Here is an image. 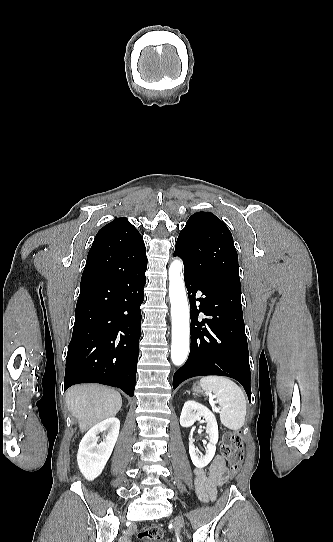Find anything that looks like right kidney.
I'll use <instances>...</instances> for the list:
<instances>
[{
  "label": "right kidney",
  "mask_w": 333,
  "mask_h": 542,
  "mask_svg": "<svg viewBox=\"0 0 333 542\" xmlns=\"http://www.w3.org/2000/svg\"><path fill=\"white\" fill-rule=\"evenodd\" d=\"M120 430L118 418H107L88 430L79 444L77 462L81 474L88 482H92L102 474L117 442ZM99 434H103V442H99Z\"/></svg>",
  "instance_id": "1"
}]
</instances>
